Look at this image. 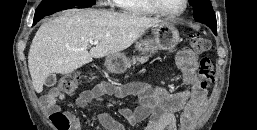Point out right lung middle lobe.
<instances>
[{
	"instance_id": "obj_1",
	"label": "right lung middle lobe",
	"mask_w": 257,
	"mask_h": 130,
	"mask_svg": "<svg viewBox=\"0 0 257 130\" xmlns=\"http://www.w3.org/2000/svg\"><path fill=\"white\" fill-rule=\"evenodd\" d=\"M94 2V0H43L36 9L34 23L42 16L52 14L58 10L71 6L91 7Z\"/></svg>"
}]
</instances>
